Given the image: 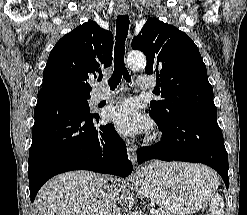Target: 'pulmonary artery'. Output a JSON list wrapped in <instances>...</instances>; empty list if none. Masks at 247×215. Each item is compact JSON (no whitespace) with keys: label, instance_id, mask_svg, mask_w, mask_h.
I'll return each instance as SVG.
<instances>
[{"label":"pulmonary artery","instance_id":"obj_1","mask_svg":"<svg viewBox=\"0 0 247 215\" xmlns=\"http://www.w3.org/2000/svg\"><path fill=\"white\" fill-rule=\"evenodd\" d=\"M137 82L141 88L150 89L154 87L155 80L153 77L150 76H139ZM113 93L107 90L104 87H101L98 91H96L93 95V100L95 102H100L102 100H106L112 97Z\"/></svg>","mask_w":247,"mask_h":215}]
</instances>
